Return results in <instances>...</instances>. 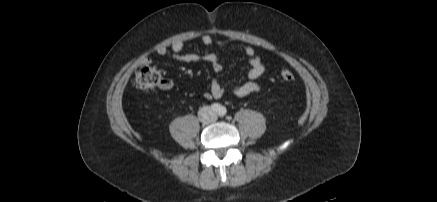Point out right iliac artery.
Listing matches in <instances>:
<instances>
[{
	"instance_id": "1",
	"label": "right iliac artery",
	"mask_w": 437,
	"mask_h": 202,
	"mask_svg": "<svg viewBox=\"0 0 437 202\" xmlns=\"http://www.w3.org/2000/svg\"><path fill=\"white\" fill-rule=\"evenodd\" d=\"M220 108H221V106H220L218 103H213V104L211 105V109H212V111H214V112H218V111L220 110Z\"/></svg>"
}]
</instances>
